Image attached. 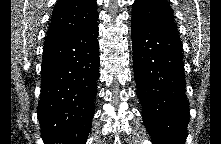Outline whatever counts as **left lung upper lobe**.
Masks as SVG:
<instances>
[{
    "label": "left lung upper lobe",
    "instance_id": "5c2ea615",
    "mask_svg": "<svg viewBox=\"0 0 221 144\" xmlns=\"http://www.w3.org/2000/svg\"><path fill=\"white\" fill-rule=\"evenodd\" d=\"M132 19L150 27L176 31L173 10L166 0H135Z\"/></svg>",
    "mask_w": 221,
    "mask_h": 144
}]
</instances>
